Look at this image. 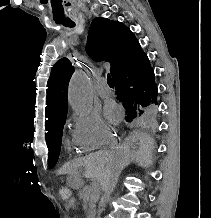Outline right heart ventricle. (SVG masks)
I'll list each match as a JSON object with an SVG mask.
<instances>
[{"mask_svg":"<svg viewBox=\"0 0 211 218\" xmlns=\"http://www.w3.org/2000/svg\"><path fill=\"white\" fill-rule=\"evenodd\" d=\"M67 146L70 148L71 146L73 147H77L78 149H67V154H82V151H88L90 149L81 147L80 145H78V143L72 139V140H67L66 141Z\"/></svg>","mask_w":211,"mask_h":218,"instance_id":"1","label":"right heart ventricle"}]
</instances>
